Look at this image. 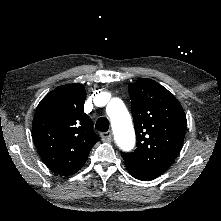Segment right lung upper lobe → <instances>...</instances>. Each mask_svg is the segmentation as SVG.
I'll list each match as a JSON object with an SVG mask.
<instances>
[{
    "label": "right lung upper lobe",
    "mask_w": 221,
    "mask_h": 221,
    "mask_svg": "<svg viewBox=\"0 0 221 221\" xmlns=\"http://www.w3.org/2000/svg\"><path fill=\"white\" fill-rule=\"evenodd\" d=\"M85 99L84 86H59L41 100L34 115L32 136L41 159L63 176L81 169L99 140L84 113Z\"/></svg>",
    "instance_id": "cb5924a9"
}]
</instances>
